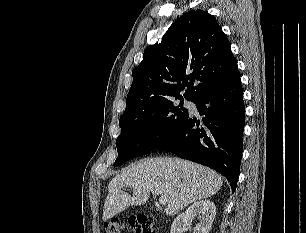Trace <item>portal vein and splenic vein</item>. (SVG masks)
Instances as JSON below:
<instances>
[{"label":"portal vein and splenic vein","mask_w":306,"mask_h":233,"mask_svg":"<svg viewBox=\"0 0 306 233\" xmlns=\"http://www.w3.org/2000/svg\"><path fill=\"white\" fill-rule=\"evenodd\" d=\"M159 203L165 205L168 203V199L166 197L161 196L159 197Z\"/></svg>","instance_id":"1"}]
</instances>
